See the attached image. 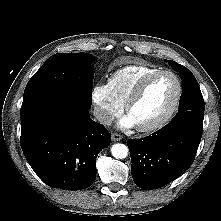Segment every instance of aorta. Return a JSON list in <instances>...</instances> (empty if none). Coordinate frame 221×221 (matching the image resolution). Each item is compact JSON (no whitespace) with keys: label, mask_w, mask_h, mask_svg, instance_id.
Wrapping results in <instances>:
<instances>
[{"label":"aorta","mask_w":221,"mask_h":221,"mask_svg":"<svg viewBox=\"0 0 221 221\" xmlns=\"http://www.w3.org/2000/svg\"><path fill=\"white\" fill-rule=\"evenodd\" d=\"M111 153L116 159H124L128 156V147L122 143H116L111 147Z\"/></svg>","instance_id":"aorta-1"}]
</instances>
